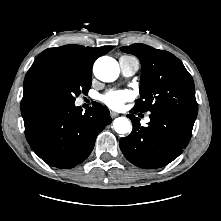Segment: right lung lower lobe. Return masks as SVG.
Returning <instances> with one entry per match:
<instances>
[{
	"label": "right lung lower lobe",
	"instance_id": "98d812e1",
	"mask_svg": "<svg viewBox=\"0 0 221 221\" xmlns=\"http://www.w3.org/2000/svg\"><path fill=\"white\" fill-rule=\"evenodd\" d=\"M22 117L33 151L48 165L65 169L89 156L97 135L112 121L109 110L98 103L82 113L74 103L38 101Z\"/></svg>",
	"mask_w": 221,
	"mask_h": 221
}]
</instances>
